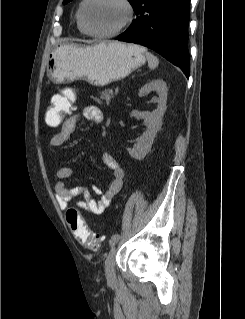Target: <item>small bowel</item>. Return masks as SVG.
Instances as JSON below:
<instances>
[{
    "mask_svg": "<svg viewBox=\"0 0 245 319\" xmlns=\"http://www.w3.org/2000/svg\"><path fill=\"white\" fill-rule=\"evenodd\" d=\"M54 97L55 96H53V98ZM80 116L96 124L101 123L103 120V114L100 108L94 105L86 106L81 114L71 115L63 121L60 130L50 141L52 147H60L70 141ZM102 161L112 172L111 182L105 191L99 186H93L91 189L83 185L69 186L65 181L72 176V169L68 166H62L57 170L56 176L59 182L55 187V196L60 209H66L69 202L80 195L83 196V199L77 202V206L86 212L92 215H102L108 209L112 199L122 188L124 170L115 157L109 152L102 154ZM93 194L98 197L94 198Z\"/></svg>",
    "mask_w": 245,
    "mask_h": 319,
    "instance_id": "small-bowel-1",
    "label": "small bowel"
}]
</instances>
